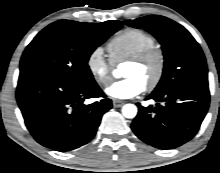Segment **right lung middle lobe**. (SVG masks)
I'll list each match as a JSON object with an SVG mask.
<instances>
[{
    "mask_svg": "<svg viewBox=\"0 0 220 173\" xmlns=\"http://www.w3.org/2000/svg\"><path fill=\"white\" fill-rule=\"evenodd\" d=\"M120 21L80 23L56 21L44 28L27 46L20 75H50L72 84L94 82L88 66L93 51L121 29Z\"/></svg>",
    "mask_w": 220,
    "mask_h": 173,
    "instance_id": "right-lung-middle-lobe-1",
    "label": "right lung middle lobe"
}]
</instances>
